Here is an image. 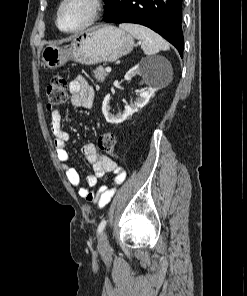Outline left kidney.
Wrapping results in <instances>:
<instances>
[{
    "mask_svg": "<svg viewBox=\"0 0 247 296\" xmlns=\"http://www.w3.org/2000/svg\"><path fill=\"white\" fill-rule=\"evenodd\" d=\"M169 63L163 58L154 59H143L139 64L130 69L126 75L125 79L130 81L134 76H141L144 81L148 84V87L139 93L136 101L130 105L125 106V110L122 113L113 115L110 112V95H107L103 101L102 112L108 123L119 124L125 121L127 118L132 116L139 109L143 108L151 98V96L157 90L156 87V76L159 73L160 67H167Z\"/></svg>",
    "mask_w": 247,
    "mask_h": 296,
    "instance_id": "1",
    "label": "left kidney"
}]
</instances>
